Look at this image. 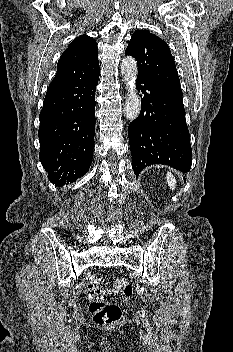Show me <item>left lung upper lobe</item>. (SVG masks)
<instances>
[{
  "instance_id": "left-lung-upper-lobe-1",
  "label": "left lung upper lobe",
  "mask_w": 233,
  "mask_h": 352,
  "mask_svg": "<svg viewBox=\"0 0 233 352\" xmlns=\"http://www.w3.org/2000/svg\"><path fill=\"white\" fill-rule=\"evenodd\" d=\"M125 55L137 60L138 76L182 98L180 80L170 48L148 30L133 33Z\"/></svg>"
}]
</instances>
